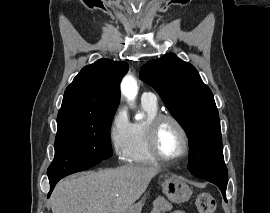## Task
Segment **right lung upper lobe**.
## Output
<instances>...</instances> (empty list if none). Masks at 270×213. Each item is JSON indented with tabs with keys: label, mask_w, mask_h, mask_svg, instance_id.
Instances as JSON below:
<instances>
[{
	"label": "right lung upper lobe",
	"mask_w": 270,
	"mask_h": 213,
	"mask_svg": "<svg viewBox=\"0 0 270 213\" xmlns=\"http://www.w3.org/2000/svg\"><path fill=\"white\" fill-rule=\"evenodd\" d=\"M127 70L126 62L108 59L85 66L66 88L58 116L115 113Z\"/></svg>",
	"instance_id": "1"
}]
</instances>
